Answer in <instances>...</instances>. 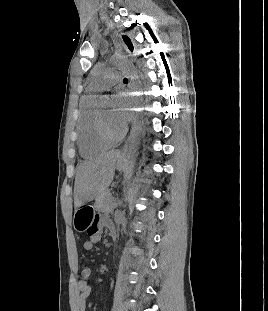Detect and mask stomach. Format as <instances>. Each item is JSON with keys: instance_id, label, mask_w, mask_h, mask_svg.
Masks as SVG:
<instances>
[{"instance_id": "stomach-1", "label": "stomach", "mask_w": 268, "mask_h": 311, "mask_svg": "<svg viewBox=\"0 0 268 311\" xmlns=\"http://www.w3.org/2000/svg\"><path fill=\"white\" fill-rule=\"evenodd\" d=\"M128 164V159L122 156L117 160L116 168L124 170ZM93 221V210L88 206H82L75 210L73 216V227L77 232H84L89 229Z\"/></svg>"}]
</instances>
